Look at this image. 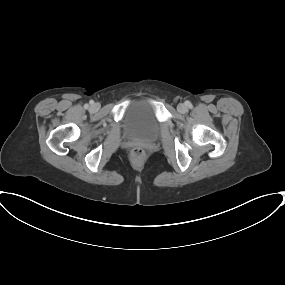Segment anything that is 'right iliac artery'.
I'll list each match as a JSON object with an SVG mask.
<instances>
[{"instance_id": "82829eb1", "label": "right iliac artery", "mask_w": 285, "mask_h": 285, "mask_svg": "<svg viewBox=\"0 0 285 285\" xmlns=\"http://www.w3.org/2000/svg\"><path fill=\"white\" fill-rule=\"evenodd\" d=\"M92 103V102H91ZM85 108H88V105H85Z\"/></svg>"}]
</instances>
